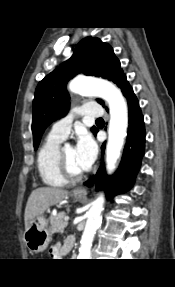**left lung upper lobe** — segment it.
<instances>
[{
    "label": "left lung upper lobe",
    "instance_id": "left-lung-upper-lobe-1",
    "mask_svg": "<svg viewBox=\"0 0 175 287\" xmlns=\"http://www.w3.org/2000/svg\"><path fill=\"white\" fill-rule=\"evenodd\" d=\"M102 77L114 82L123 92L129 83L112 47L99 38L86 37L79 42L70 59L47 75L38 84L33 101V142L37 149L41 136L54 120L64 117L69 110L66 84L79 72ZM97 101L104 106L100 99ZM95 134L97 129L91 128Z\"/></svg>",
    "mask_w": 175,
    "mask_h": 287
}]
</instances>
